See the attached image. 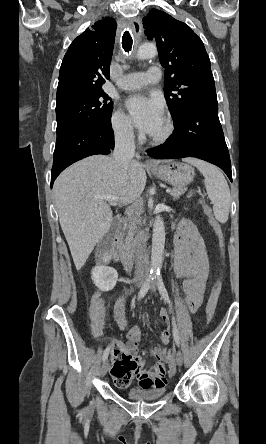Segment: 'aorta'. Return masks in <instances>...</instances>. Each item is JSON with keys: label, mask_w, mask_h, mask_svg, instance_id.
Instances as JSON below:
<instances>
[{"label": "aorta", "mask_w": 266, "mask_h": 444, "mask_svg": "<svg viewBox=\"0 0 266 444\" xmlns=\"http://www.w3.org/2000/svg\"><path fill=\"white\" fill-rule=\"evenodd\" d=\"M157 53L156 46L152 43L142 44L138 51V59H148ZM165 245V226L163 218L158 215L155 218L152 235V251H151V272L158 274L162 267L163 253Z\"/></svg>", "instance_id": "aorta-1"}]
</instances>
